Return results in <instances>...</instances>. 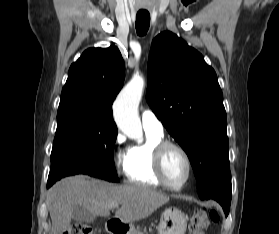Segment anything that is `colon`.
<instances>
[{
  "label": "colon",
  "mask_w": 279,
  "mask_h": 234,
  "mask_svg": "<svg viewBox=\"0 0 279 234\" xmlns=\"http://www.w3.org/2000/svg\"><path fill=\"white\" fill-rule=\"evenodd\" d=\"M218 220L219 214L216 211L208 213L203 208L196 209L189 221L190 234H203L212 221ZM62 234H92V230L87 223H75L66 228Z\"/></svg>",
  "instance_id": "1"
}]
</instances>
